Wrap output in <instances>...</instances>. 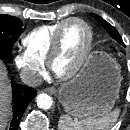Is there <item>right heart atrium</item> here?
Segmentation results:
<instances>
[{"label": "right heart atrium", "instance_id": "1", "mask_svg": "<svg viewBox=\"0 0 130 130\" xmlns=\"http://www.w3.org/2000/svg\"><path fill=\"white\" fill-rule=\"evenodd\" d=\"M13 61L22 79L29 85H37L45 74L44 62L35 59L26 51L18 50Z\"/></svg>", "mask_w": 130, "mask_h": 130}]
</instances>
